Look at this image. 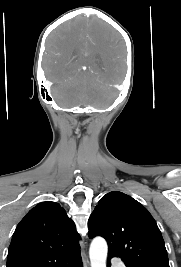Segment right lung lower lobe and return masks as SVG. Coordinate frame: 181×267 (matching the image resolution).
<instances>
[{
  "label": "right lung lower lobe",
  "instance_id": "right-lung-lower-lobe-1",
  "mask_svg": "<svg viewBox=\"0 0 181 267\" xmlns=\"http://www.w3.org/2000/svg\"><path fill=\"white\" fill-rule=\"evenodd\" d=\"M50 267H83L80 251L61 259Z\"/></svg>",
  "mask_w": 181,
  "mask_h": 267
}]
</instances>
